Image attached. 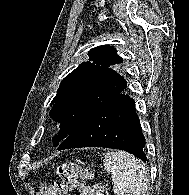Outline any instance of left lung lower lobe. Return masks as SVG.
Listing matches in <instances>:
<instances>
[{"label":"left lung lower lobe","instance_id":"1","mask_svg":"<svg viewBox=\"0 0 189 195\" xmlns=\"http://www.w3.org/2000/svg\"><path fill=\"white\" fill-rule=\"evenodd\" d=\"M145 137L134 100L122 91L98 108L79 125L62 143L58 150L79 147H107L132 153L144 162Z\"/></svg>","mask_w":189,"mask_h":195}]
</instances>
